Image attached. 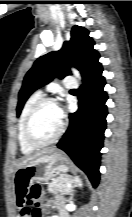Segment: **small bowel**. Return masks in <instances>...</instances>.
<instances>
[{
  "label": "small bowel",
  "mask_w": 132,
  "mask_h": 217,
  "mask_svg": "<svg viewBox=\"0 0 132 217\" xmlns=\"http://www.w3.org/2000/svg\"><path fill=\"white\" fill-rule=\"evenodd\" d=\"M26 194H27L26 190L18 189L16 191V204L20 209L19 217H31V210L26 202ZM64 202L65 199L59 196L55 200L46 201L43 204L42 209L44 211H47L52 207H58L60 208L59 216H47V217H68L66 211L62 208Z\"/></svg>",
  "instance_id": "1"
}]
</instances>
